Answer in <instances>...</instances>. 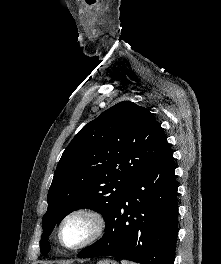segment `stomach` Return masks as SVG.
<instances>
[{
	"label": "stomach",
	"instance_id": "obj_1",
	"mask_svg": "<svg viewBox=\"0 0 221 264\" xmlns=\"http://www.w3.org/2000/svg\"><path fill=\"white\" fill-rule=\"evenodd\" d=\"M97 264H118V263L116 261H113V260L105 259V260L99 261Z\"/></svg>",
	"mask_w": 221,
	"mask_h": 264
}]
</instances>
